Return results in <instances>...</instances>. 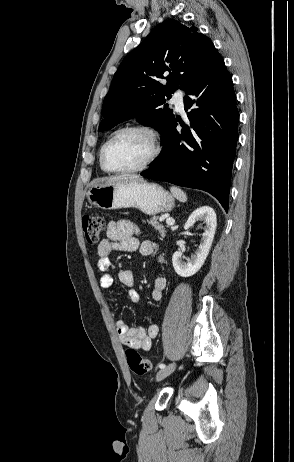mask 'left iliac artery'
Segmentation results:
<instances>
[{
    "mask_svg": "<svg viewBox=\"0 0 294 462\" xmlns=\"http://www.w3.org/2000/svg\"><path fill=\"white\" fill-rule=\"evenodd\" d=\"M158 367H159L160 369H165V368H167L168 366H166L165 364H159Z\"/></svg>",
    "mask_w": 294,
    "mask_h": 462,
    "instance_id": "1",
    "label": "left iliac artery"
}]
</instances>
